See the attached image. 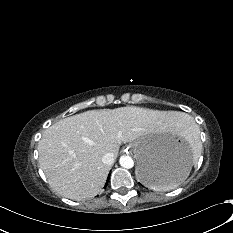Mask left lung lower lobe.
Listing matches in <instances>:
<instances>
[{
    "mask_svg": "<svg viewBox=\"0 0 233 233\" xmlns=\"http://www.w3.org/2000/svg\"><path fill=\"white\" fill-rule=\"evenodd\" d=\"M179 174L180 170L174 166L147 164L141 169L140 181L145 186L153 184L157 187H164L175 181Z\"/></svg>",
    "mask_w": 233,
    "mask_h": 233,
    "instance_id": "obj_1",
    "label": "left lung lower lobe"
}]
</instances>
